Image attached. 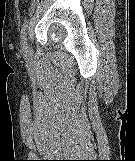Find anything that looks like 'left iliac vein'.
<instances>
[{"label": "left iliac vein", "instance_id": "4c4485c4", "mask_svg": "<svg viewBox=\"0 0 135 161\" xmlns=\"http://www.w3.org/2000/svg\"><path fill=\"white\" fill-rule=\"evenodd\" d=\"M23 52L26 57H28L31 53V48H30L29 42L27 40L25 41V43L23 45Z\"/></svg>", "mask_w": 135, "mask_h": 161}]
</instances>
